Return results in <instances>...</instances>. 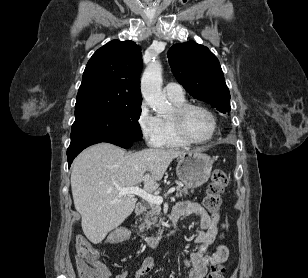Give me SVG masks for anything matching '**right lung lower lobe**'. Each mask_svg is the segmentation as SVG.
Masks as SVG:
<instances>
[{
    "instance_id": "1",
    "label": "right lung lower lobe",
    "mask_w": 308,
    "mask_h": 278,
    "mask_svg": "<svg viewBox=\"0 0 308 278\" xmlns=\"http://www.w3.org/2000/svg\"><path fill=\"white\" fill-rule=\"evenodd\" d=\"M100 142H108L115 144L117 146H120L122 148H130L132 146L133 141H128V140H120V139H83V140H78L70 143V146L68 147L67 150V159H68V165L70 167L73 159L86 147L100 143Z\"/></svg>"
}]
</instances>
